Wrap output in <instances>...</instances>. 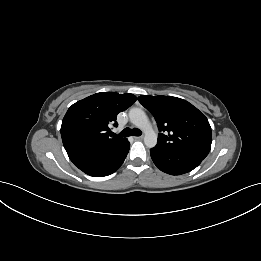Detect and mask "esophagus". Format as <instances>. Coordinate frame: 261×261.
<instances>
[{
	"label": "esophagus",
	"mask_w": 261,
	"mask_h": 261,
	"mask_svg": "<svg viewBox=\"0 0 261 261\" xmlns=\"http://www.w3.org/2000/svg\"><path fill=\"white\" fill-rule=\"evenodd\" d=\"M134 139H135V140H142V139H143V136H135Z\"/></svg>",
	"instance_id": "1"
}]
</instances>
